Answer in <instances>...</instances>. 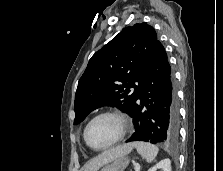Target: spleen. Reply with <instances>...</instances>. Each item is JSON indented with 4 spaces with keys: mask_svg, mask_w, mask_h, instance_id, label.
I'll list each match as a JSON object with an SVG mask.
<instances>
[{
    "mask_svg": "<svg viewBox=\"0 0 223 171\" xmlns=\"http://www.w3.org/2000/svg\"><path fill=\"white\" fill-rule=\"evenodd\" d=\"M133 146L148 163H151L159 152L157 146L146 142H134Z\"/></svg>",
    "mask_w": 223,
    "mask_h": 171,
    "instance_id": "obj_1",
    "label": "spleen"
}]
</instances>
